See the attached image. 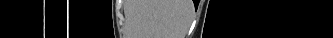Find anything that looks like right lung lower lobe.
<instances>
[{
	"label": "right lung lower lobe",
	"mask_w": 333,
	"mask_h": 38,
	"mask_svg": "<svg viewBox=\"0 0 333 38\" xmlns=\"http://www.w3.org/2000/svg\"><path fill=\"white\" fill-rule=\"evenodd\" d=\"M194 4H195V6H196V1H194Z\"/></svg>",
	"instance_id": "right-lung-lower-lobe-1"
}]
</instances>
